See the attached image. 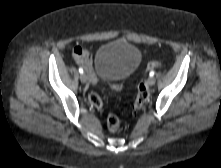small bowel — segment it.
<instances>
[{
	"label": "small bowel",
	"mask_w": 221,
	"mask_h": 168,
	"mask_svg": "<svg viewBox=\"0 0 221 168\" xmlns=\"http://www.w3.org/2000/svg\"><path fill=\"white\" fill-rule=\"evenodd\" d=\"M73 57H74L76 63L85 67V69L87 70V72L90 75L91 81L94 83L97 82V77L92 72V69H91L92 57H91L90 53L81 47H76L73 50Z\"/></svg>",
	"instance_id": "obj_1"
}]
</instances>
